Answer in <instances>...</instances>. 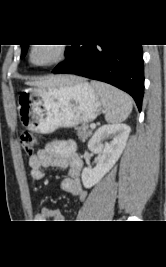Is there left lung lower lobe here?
Here are the masks:
<instances>
[{
	"label": "left lung lower lobe",
	"mask_w": 166,
	"mask_h": 267,
	"mask_svg": "<svg viewBox=\"0 0 166 267\" xmlns=\"http://www.w3.org/2000/svg\"><path fill=\"white\" fill-rule=\"evenodd\" d=\"M67 59L52 71L109 83L129 93L141 111L144 67L141 45L84 44L65 51Z\"/></svg>",
	"instance_id": "0a47b994"
}]
</instances>
